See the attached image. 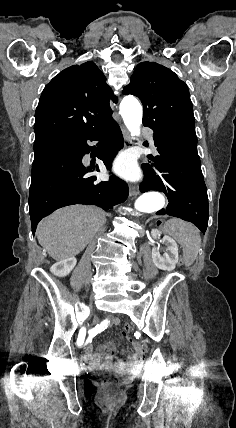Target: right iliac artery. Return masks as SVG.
Listing matches in <instances>:
<instances>
[{
	"instance_id": "obj_1",
	"label": "right iliac artery",
	"mask_w": 236,
	"mask_h": 428,
	"mask_svg": "<svg viewBox=\"0 0 236 428\" xmlns=\"http://www.w3.org/2000/svg\"><path fill=\"white\" fill-rule=\"evenodd\" d=\"M85 336H86V328L82 327L79 331V335L77 339L78 346H81L84 343Z\"/></svg>"
}]
</instances>
